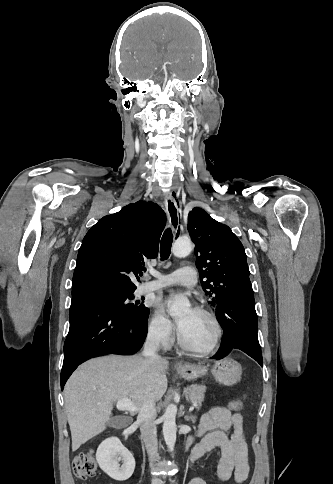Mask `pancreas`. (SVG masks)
Listing matches in <instances>:
<instances>
[{
    "label": "pancreas",
    "instance_id": "pancreas-1",
    "mask_svg": "<svg viewBox=\"0 0 333 484\" xmlns=\"http://www.w3.org/2000/svg\"><path fill=\"white\" fill-rule=\"evenodd\" d=\"M206 392V386L204 385H191L185 389V394L189 401L195 403L198 407L201 406L204 400V394Z\"/></svg>",
    "mask_w": 333,
    "mask_h": 484
}]
</instances>
